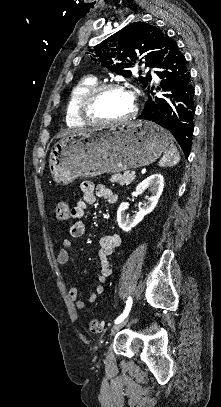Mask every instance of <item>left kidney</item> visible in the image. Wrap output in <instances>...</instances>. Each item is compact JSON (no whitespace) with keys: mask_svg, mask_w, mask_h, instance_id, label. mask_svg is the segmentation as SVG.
<instances>
[{"mask_svg":"<svg viewBox=\"0 0 221 407\" xmlns=\"http://www.w3.org/2000/svg\"><path fill=\"white\" fill-rule=\"evenodd\" d=\"M147 188H149L152 195L148 198V201L139 210V212L136 213V215L130 217L126 214L128 203L123 202L120 204L117 211V221L119 227L123 231H130L133 227H135L143 220L144 216L154 210L164 188L163 176L161 174H153L150 177L146 178L140 184H138L135 194H141Z\"/></svg>","mask_w":221,"mask_h":407,"instance_id":"left-kidney-1","label":"left kidney"}]
</instances>
